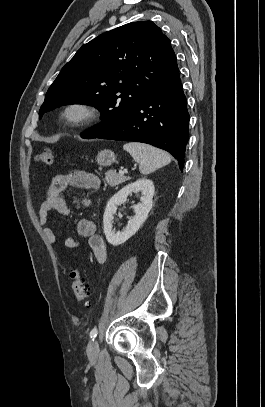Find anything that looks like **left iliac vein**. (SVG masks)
I'll use <instances>...</instances> for the list:
<instances>
[{
  "mask_svg": "<svg viewBox=\"0 0 265 407\" xmlns=\"http://www.w3.org/2000/svg\"><path fill=\"white\" fill-rule=\"evenodd\" d=\"M99 352V345L96 339H92L87 347V354L90 358L96 357Z\"/></svg>",
  "mask_w": 265,
  "mask_h": 407,
  "instance_id": "1",
  "label": "left iliac vein"
}]
</instances>
